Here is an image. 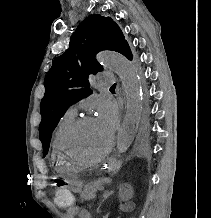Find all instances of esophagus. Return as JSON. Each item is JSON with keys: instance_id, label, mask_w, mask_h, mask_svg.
<instances>
[{"instance_id": "1", "label": "esophagus", "mask_w": 211, "mask_h": 218, "mask_svg": "<svg viewBox=\"0 0 211 218\" xmlns=\"http://www.w3.org/2000/svg\"><path fill=\"white\" fill-rule=\"evenodd\" d=\"M111 167H112L111 159H104V163L102 164L101 171L109 172Z\"/></svg>"}]
</instances>
